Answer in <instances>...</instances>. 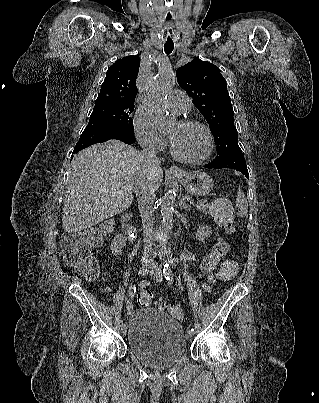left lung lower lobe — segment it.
<instances>
[{"label": "left lung lower lobe", "mask_w": 319, "mask_h": 403, "mask_svg": "<svg viewBox=\"0 0 319 403\" xmlns=\"http://www.w3.org/2000/svg\"><path fill=\"white\" fill-rule=\"evenodd\" d=\"M209 169L231 168L240 171L249 178L247 165L242 152H230L224 156H217L209 164L205 165Z\"/></svg>", "instance_id": "1"}]
</instances>
